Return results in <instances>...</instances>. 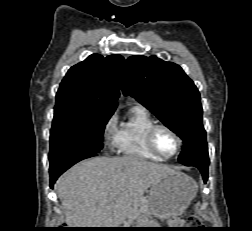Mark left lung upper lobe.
I'll return each instance as SVG.
<instances>
[{"label":"left lung upper lobe","instance_id":"5c2ea615","mask_svg":"<svg viewBox=\"0 0 252 231\" xmlns=\"http://www.w3.org/2000/svg\"><path fill=\"white\" fill-rule=\"evenodd\" d=\"M122 89L181 137L180 163L209 159L200 94L179 65L156 56H131L125 64Z\"/></svg>","mask_w":252,"mask_h":231}]
</instances>
